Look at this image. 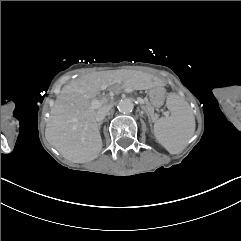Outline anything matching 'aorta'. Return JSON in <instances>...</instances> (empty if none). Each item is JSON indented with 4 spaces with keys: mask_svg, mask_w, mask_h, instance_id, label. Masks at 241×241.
<instances>
[{
    "mask_svg": "<svg viewBox=\"0 0 241 241\" xmlns=\"http://www.w3.org/2000/svg\"><path fill=\"white\" fill-rule=\"evenodd\" d=\"M117 108L119 112L128 114L132 112L134 104L131 99L125 98L119 101Z\"/></svg>",
    "mask_w": 241,
    "mask_h": 241,
    "instance_id": "1",
    "label": "aorta"
}]
</instances>
